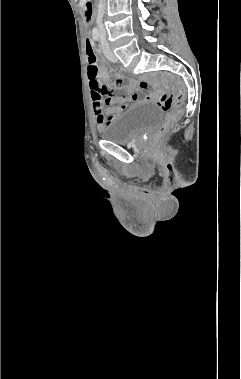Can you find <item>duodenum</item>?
I'll use <instances>...</instances> for the list:
<instances>
[{
  "instance_id": "410a0bca",
  "label": "duodenum",
  "mask_w": 241,
  "mask_h": 379,
  "mask_svg": "<svg viewBox=\"0 0 241 379\" xmlns=\"http://www.w3.org/2000/svg\"><path fill=\"white\" fill-rule=\"evenodd\" d=\"M84 9H85L86 18L88 20H91L93 16V5H92L91 0H85Z\"/></svg>"
}]
</instances>
